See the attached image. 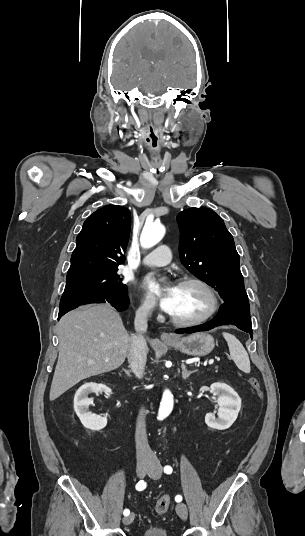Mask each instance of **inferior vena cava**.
<instances>
[{
    "mask_svg": "<svg viewBox=\"0 0 305 536\" xmlns=\"http://www.w3.org/2000/svg\"><path fill=\"white\" fill-rule=\"evenodd\" d=\"M150 310L151 306H141V308H138L134 320V326L137 334H135V336H131L130 338V348L127 358L129 366L137 378H142L146 364L147 346L143 334L147 332V318ZM145 414L146 410H143L142 408L137 418L135 432L136 456L137 460H141V462H150V460L154 458V454L151 448H149L147 440Z\"/></svg>",
    "mask_w": 305,
    "mask_h": 536,
    "instance_id": "602c4592",
    "label": "inferior vena cava"
}]
</instances>
